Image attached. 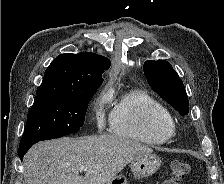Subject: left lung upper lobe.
<instances>
[{"mask_svg":"<svg viewBox=\"0 0 224 184\" xmlns=\"http://www.w3.org/2000/svg\"><path fill=\"white\" fill-rule=\"evenodd\" d=\"M143 69L150 87L181 115H187L189 103L186 90L171 64L164 60H149L144 63Z\"/></svg>","mask_w":224,"mask_h":184,"instance_id":"5c2ea615","label":"left lung upper lobe"}]
</instances>
